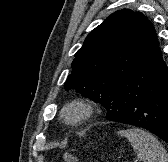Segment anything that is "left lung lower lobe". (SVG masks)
<instances>
[{
	"mask_svg": "<svg viewBox=\"0 0 168 162\" xmlns=\"http://www.w3.org/2000/svg\"><path fill=\"white\" fill-rule=\"evenodd\" d=\"M106 119L149 130L168 142V68L159 43L114 89Z\"/></svg>",
	"mask_w": 168,
	"mask_h": 162,
	"instance_id": "1",
	"label": "left lung lower lobe"
}]
</instances>
